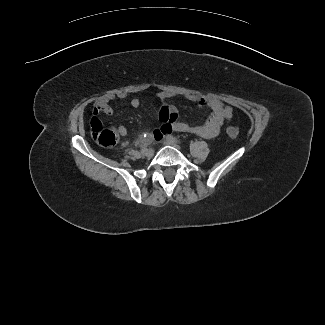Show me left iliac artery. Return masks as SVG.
Listing matches in <instances>:
<instances>
[{"label":"left iliac artery","mask_w":325,"mask_h":325,"mask_svg":"<svg viewBox=\"0 0 325 325\" xmlns=\"http://www.w3.org/2000/svg\"><path fill=\"white\" fill-rule=\"evenodd\" d=\"M167 138L174 141V142H176V143H181V140H179L178 138H176V137H174L172 135H168Z\"/></svg>","instance_id":"1"}]
</instances>
